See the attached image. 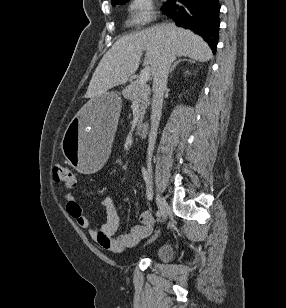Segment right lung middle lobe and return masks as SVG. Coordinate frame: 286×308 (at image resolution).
<instances>
[{"label": "right lung middle lobe", "instance_id": "obj_1", "mask_svg": "<svg viewBox=\"0 0 286 308\" xmlns=\"http://www.w3.org/2000/svg\"><path fill=\"white\" fill-rule=\"evenodd\" d=\"M128 0H115L114 2H112V5L115 6V5H122L124 3H126Z\"/></svg>", "mask_w": 286, "mask_h": 308}]
</instances>
